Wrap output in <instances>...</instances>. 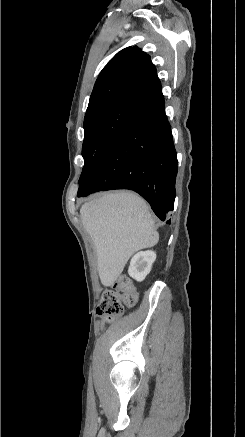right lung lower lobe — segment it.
I'll return each mask as SVG.
<instances>
[{"label":"right lung lower lobe","instance_id":"1","mask_svg":"<svg viewBox=\"0 0 245 437\" xmlns=\"http://www.w3.org/2000/svg\"><path fill=\"white\" fill-rule=\"evenodd\" d=\"M177 156L164 102L141 110L119 133L83 183L78 197L101 190L140 194L162 221L174 207Z\"/></svg>","mask_w":245,"mask_h":437}]
</instances>
